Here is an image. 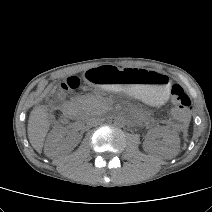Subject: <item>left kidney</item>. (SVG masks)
I'll list each match as a JSON object with an SVG mask.
<instances>
[{"instance_id":"left-kidney-1","label":"left kidney","mask_w":212,"mask_h":212,"mask_svg":"<svg viewBox=\"0 0 212 212\" xmlns=\"http://www.w3.org/2000/svg\"><path fill=\"white\" fill-rule=\"evenodd\" d=\"M153 136L162 138V141L157 144L151 140H145L143 147L146 152L157 153L166 159L178 154L180 139L175 131L160 127L153 130Z\"/></svg>"}]
</instances>
